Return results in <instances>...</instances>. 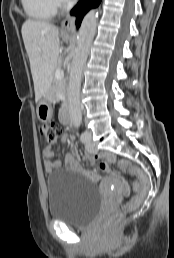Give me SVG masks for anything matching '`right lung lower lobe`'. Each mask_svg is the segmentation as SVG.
<instances>
[{
  "mask_svg": "<svg viewBox=\"0 0 174 258\" xmlns=\"http://www.w3.org/2000/svg\"><path fill=\"white\" fill-rule=\"evenodd\" d=\"M101 0H80L79 3L72 9L71 14L76 15V25L80 26L84 15L94 7L100 4Z\"/></svg>",
  "mask_w": 174,
  "mask_h": 258,
  "instance_id": "right-lung-lower-lobe-1",
  "label": "right lung lower lobe"
}]
</instances>
